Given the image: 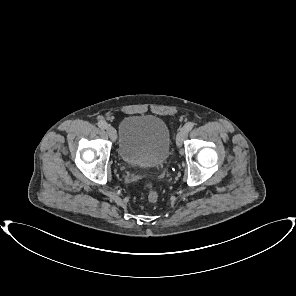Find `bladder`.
Returning <instances> with one entry per match:
<instances>
[{"mask_svg": "<svg viewBox=\"0 0 296 296\" xmlns=\"http://www.w3.org/2000/svg\"><path fill=\"white\" fill-rule=\"evenodd\" d=\"M170 151L166 123L152 115H131L119 126L118 152L126 164L149 168L162 165Z\"/></svg>", "mask_w": 296, "mask_h": 296, "instance_id": "31cf9c89", "label": "bladder"}]
</instances>
